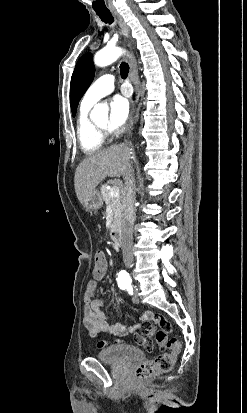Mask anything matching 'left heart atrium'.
I'll return each mask as SVG.
<instances>
[{"instance_id":"1","label":"left heart atrium","mask_w":247,"mask_h":413,"mask_svg":"<svg viewBox=\"0 0 247 413\" xmlns=\"http://www.w3.org/2000/svg\"><path fill=\"white\" fill-rule=\"evenodd\" d=\"M110 114H111V130H119L128 115V103L124 97L117 94L109 100Z\"/></svg>"}]
</instances>
